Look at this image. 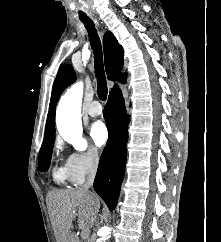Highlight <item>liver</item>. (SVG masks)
<instances>
[{"instance_id": "1", "label": "liver", "mask_w": 221, "mask_h": 242, "mask_svg": "<svg viewBox=\"0 0 221 242\" xmlns=\"http://www.w3.org/2000/svg\"><path fill=\"white\" fill-rule=\"evenodd\" d=\"M47 205L56 242H78L72 232V221L77 217L79 228L89 230L96 220L100 201L97 195L80 188L49 192Z\"/></svg>"}]
</instances>
